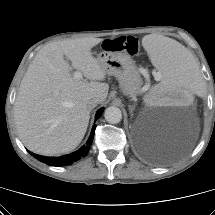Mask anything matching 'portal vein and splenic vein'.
<instances>
[{"label": "portal vein and splenic vein", "mask_w": 215, "mask_h": 215, "mask_svg": "<svg viewBox=\"0 0 215 215\" xmlns=\"http://www.w3.org/2000/svg\"><path fill=\"white\" fill-rule=\"evenodd\" d=\"M74 77L77 78V79H82L83 75L79 70H77V71L74 72ZM160 78H161V74H158V79H160Z\"/></svg>", "instance_id": "portal-vein-and-splenic-vein-1"}]
</instances>
